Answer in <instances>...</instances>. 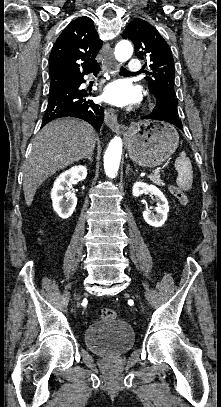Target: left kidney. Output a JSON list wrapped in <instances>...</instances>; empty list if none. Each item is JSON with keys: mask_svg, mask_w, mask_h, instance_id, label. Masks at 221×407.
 Returning <instances> with one entry per match:
<instances>
[{"mask_svg": "<svg viewBox=\"0 0 221 407\" xmlns=\"http://www.w3.org/2000/svg\"><path fill=\"white\" fill-rule=\"evenodd\" d=\"M150 193L155 197L157 202L156 212L152 214L149 210L143 212V218L147 224L153 227H161L167 220V213L169 212L168 201L164 194L154 185H149L144 182H136L132 188L134 197H139L142 194Z\"/></svg>", "mask_w": 221, "mask_h": 407, "instance_id": "5707ae66", "label": "left kidney"}]
</instances>
